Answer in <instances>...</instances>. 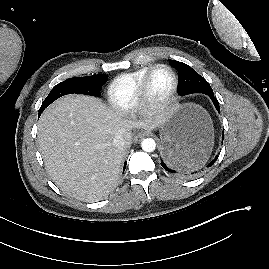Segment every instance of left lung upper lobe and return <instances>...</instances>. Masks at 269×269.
<instances>
[{"label": "left lung upper lobe", "instance_id": "obj_1", "mask_svg": "<svg viewBox=\"0 0 269 269\" xmlns=\"http://www.w3.org/2000/svg\"><path fill=\"white\" fill-rule=\"evenodd\" d=\"M169 62L179 74V95L213 93L209 83L189 65L175 60H169Z\"/></svg>", "mask_w": 269, "mask_h": 269}]
</instances>
